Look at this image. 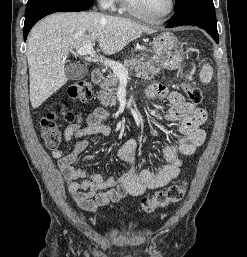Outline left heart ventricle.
I'll return each instance as SVG.
<instances>
[{
    "mask_svg": "<svg viewBox=\"0 0 247 257\" xmlns=\"http://www.w3.org/2000/svg\"><path fill=\"white\" fill-rule=\"evenodd\" d=\"M131 1L133 5L140 12L151 17H159L163 15L169 7V0H131Z\"/></svg>",
    "mask_w": 247,
    "mask_h": 257,
    "instance_id": "obj_1",
    "label": "left heart ventricle"
}]
</instances>
